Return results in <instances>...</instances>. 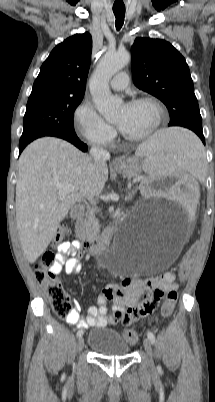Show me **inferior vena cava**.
Here are the masks:
<instances>
[{"mask_svg":"<svg viewBox=\"0 0 215 402\" xmlns=\"http://www.w3.org/2000/svg\"><path fill=\"white\" fill-rule=\"evenodd\" d=\"M90 154L96 164H105L110 159V153L101 147H92Z\"/></svg>","mask_w":215,"mask_h":402,"instance_id":"1","label":"inferior vena cava"}]
</instances>
